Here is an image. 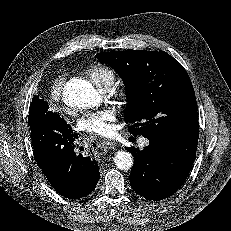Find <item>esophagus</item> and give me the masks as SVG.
Masks as SVG:
<instances>
[{
  "mask_svg": "<svg viewBox=\"0 0 231 231\" xmlns=\"http://www.w3.org/2000/svg\"><path fill=\"white\" fill-rule=\"evenodd\" d=\"M101 145L106 148H113L115 146V142L111 140L104 139L101 141Z\"/></svg>",
  "mask_w": 231,
  "mask_h": 231,
  "instance_id": "1",
  "label": "esophagus"
}]
</instances>
